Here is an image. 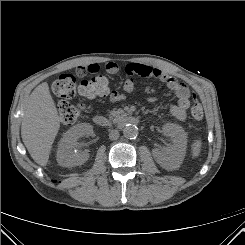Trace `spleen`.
Returning a JSON list of instances; mask_svg holds the SVG:
<instances>
[{
	"label": "spleen",
	"mask_w": 245,
	"mask_h": 245,
	"mask_svg": "<svg viewBox=\"0 0 245 245\" xmlns=\"http://www.w3.org/2000/svg\"><path fill=\"white\" fill-rule=\"evenodd\" d=\"M200 146H201V142L200 141H196L194 143V147H193V155L194 156H197L199 154Z\"/></svg>",
	"instance_id": "obj_1"
}]
</instances>
